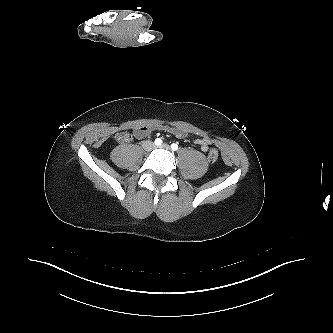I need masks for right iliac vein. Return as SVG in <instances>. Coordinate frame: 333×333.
Wrapping results in <instances>:
<instances>
[{
    "label": "right iliac vein",
    "mask_w": 333,
    "mask_h": 333,
    "mask_svg": "<svg viewBox=\"0 0 333 333\" xmlns=\"http://www.w3.org/2000/svg\"><path fill=\"white\" fill-rule=\"evenodd\" d=\"M142 146L143 149L147 152L151 151L154 148V145L151 141H145Z\"/></svg>",
    "instance_id": "obj_1"
}]
</instances>
